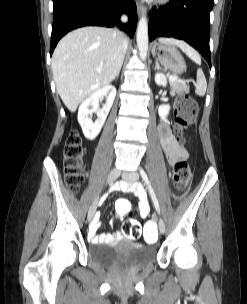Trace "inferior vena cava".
Returning a JSON list of instances; mask_svg holds the SVG:
<instances>
[{
  "mask_svg": "<svg viewBox=\"0 0 247 304\" xmlns=\"http://www.w3.org/2000/svg\"><path fill=\"white\" fill-rule=\"evenodd\" d=\"M122 21H126L127 17L126 16H122ZM127 49V39L125 37L122 36V52L124 53Z\"/></svg>",
  "mask_w": 247,
  "mask_h": 304,
  "instance_id": "inferior-vena-cava-1",
  "label": "inferior vena cava"
}]
</instances>
